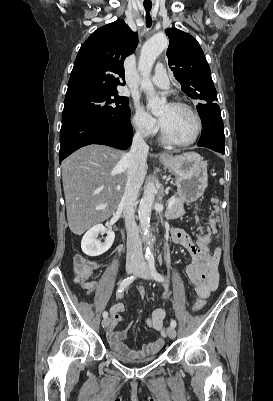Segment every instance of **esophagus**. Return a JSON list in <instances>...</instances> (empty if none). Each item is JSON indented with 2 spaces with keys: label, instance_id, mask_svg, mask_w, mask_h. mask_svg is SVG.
<instances>
[{
  "label": "esophagus",
  "instance_id": "esophagus-1",
  "mask_svg": "<svg viewBox=\"0 0 273 401\" xmlns=\"http://www.w3.org/2000/svg\"><path fill=\"white\" fill-rule=\"evenodd\" d=\"M168 155L161 153V155L159 156V158H166Z\"/></svg>",
  "mask_w": 273,
  "mask_h": 401
}]
</instances>
